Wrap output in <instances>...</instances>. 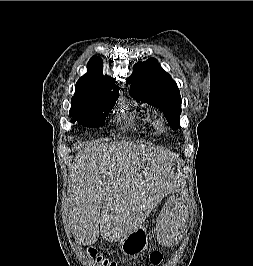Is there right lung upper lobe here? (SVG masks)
Here are the masks:
<instances>
[{
	"mask_svg": "<svg viewBox=\"0 0 253 266\" xmlns=\"http://www.w3.org/2000/svg\"><path fill=\"white\" fill-rule=\"evenodd\" d=\"M88 73L76 83V91L72 97V105L88 104L118 96V85L109 76H103V61L93 56L87 64ZM114 89L111 92V89Z\"/></svg>",
	"mask_w": 253,
	"mask_h": 266,
	"instance_id": "right-lung-upper-lobe-1",
	"label": "right lung upper lobe"
}]
</instances>
